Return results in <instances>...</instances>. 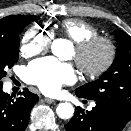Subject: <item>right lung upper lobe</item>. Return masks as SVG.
<instances>
[{"instance_id": "1", "label": "right lung upper lobe", "mask_w": 131, "mask_h": 131, "mask_svg": "<svg viewBox=\"0 0 131 131\" xmlns=\"http://www.w3.org/2000/svg\"><path fill=\"white\" fill-rule=\"evenodd\" d=\"M13 16H7L0 19V30L6 29L8 27V23Z\"/></svg>"}]
</instances>
